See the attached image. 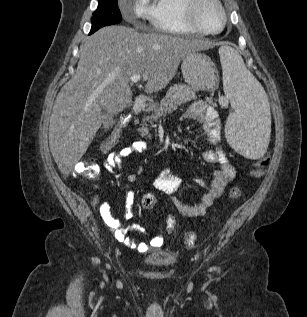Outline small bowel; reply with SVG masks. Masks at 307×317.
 <instances>
[{"instance_id": "1", "label": "small bowel", "mask_w": 307, "mask_h": 317, "mask_svg": "<svg viewBox=\"0 0 307 317\" xmlns=\"http://www.w3.org/2000/svg\"><path fill=\"white\" fill-rule=\"evenodd\" d=\"M184 118L198 121L208 135L211 144L219 142L221 138V123L219 115L213 107L202 101L194 102ZM149 148V144L144 141L131 142L119 151L109 153L103 161V166L108 172L119 177L120 174L118 171L121 170L124 159L146 152ZM204 158L209 163L219 164L220 168L215 172L209 183L199 181L206 190L201 195L200 201L195 205L187 204L177 196L182 186V180L169 168L163 169L153 181L154 189L169 195L175 208L183 216L199 217L205 215L207 209L224 192L225 187L236 176L235 168L221 149L207 151L204 154ZM133 200L134 191L128 189L126 193V211L121 219L111 215L109 202L105 201L101 203L100 215L104 223L114 234L115 238L126 246L136 248L140 252L160 248L163 244L162 236H156L149 242H137L127 236L126 229L122 227L121 221L130 220L132 218Z\"/></svg>"}]
</instances>
